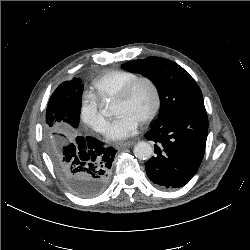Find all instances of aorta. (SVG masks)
<instances>
[{
	"label": "aorta",
	"instance_id": "obj_1",
	"mask_svg": "<svg viewBox=\"0 0 250 250\" xmlns=\"http://www.w3.org/2000/svg\"><path fill=\"white\" fill-rule=\"evenodd\" d=\"M134 155L140 159V160H147L149 158H151L152 153H153V149L151 147V145L147 142H138L135 146H134Z\"/></svg>",
	"mask_w": 250,
	"mask_h": 250
}]
</instances>
